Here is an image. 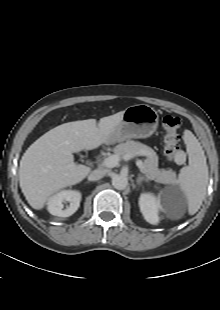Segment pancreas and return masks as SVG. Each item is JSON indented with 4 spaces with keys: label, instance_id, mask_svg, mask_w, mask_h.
Masks as SVG:
<instances>
[{
    "label": "pancreas",
    "instance_id": "1",
    "mask_svg": "<svg viewBox=\"0 0 220 310\" xmlns=\"http://www.w3.org/2000/svg\"><path fill=\"white\" fill-rule=\"evenodd\" d=\"M114 152L119 157H123L124 155L146 156L147 159L143 162V166L144 173L148 179L162 184H174L176 182L175 171L171 169H158V156L156 152L140 142L127 140L125 143L117 145L114 148Z\"/></svg>",
    "mask_w": 220,
    "mask_h": 310
}]
</instances>
